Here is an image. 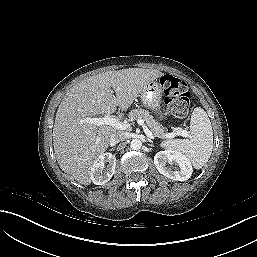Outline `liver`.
I'll use <instances>...</instances> for the list:
<instances>
[{
    "label": "liver",
    "mask_w": 257,
    "mask_h": 257,
    "mask_svg": "<svg viewBox=\"0 0 257 257\" xmlns=\"http://www.w3.org/2000/svg\"><path fill=\"white\" fill-rule=\"evenodd\" d=\"M161 76L163 73L158 70L128 68L91 76L70 88L58 107L53 128L60 168L80 184L89 185L91 166L107 150L110 136L119 129L96 126L84 119L112 114L117 107L126 111L144 86ZM116 119L121 120L122 114Z\"/></svg>",
    "instance_id": "liver-1"
}]
</instances>
